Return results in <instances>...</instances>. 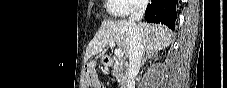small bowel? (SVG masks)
Masks as SVG:
<instances>
[{"label": "small bowel", "mask_w": 227, "mask_h": 88, "mask_svg": "<svg viewBox=\"0 0 227 88\" xmlns=\"http://www.w3.org/2000/svg\"><path fill=\"white\" fill-rule=\"evenodd\" d=\"M90 70H92L93 69V66H90V68H89ZM99 88H102V86H98Z\"/></svg>", "instance_id": "1"}]
</instances>
